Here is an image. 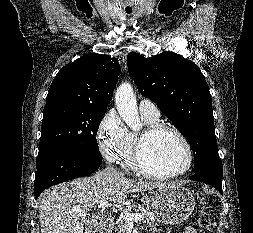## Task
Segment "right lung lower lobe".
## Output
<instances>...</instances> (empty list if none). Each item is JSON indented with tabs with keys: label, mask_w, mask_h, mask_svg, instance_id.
Here are the masks:
<instances>
[{
	"label": "right lung lower lobe",
	"mask_w": 253,
	"mask_h": 233,
	"mask_svg": "<svg viewBox=\"0 0 253 233\" xmlns=\"http://www.w3.org/2000/svg\"><path fill=\"white\" fill-rule=\"evenodd\" d=\"M101 162L102 159L61 151H50L38 156L35 198L52 185L92 174L99 168Z\"/></svg>",
	"instance_id": "obj_1"
}]
</instances>
